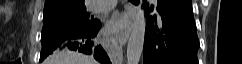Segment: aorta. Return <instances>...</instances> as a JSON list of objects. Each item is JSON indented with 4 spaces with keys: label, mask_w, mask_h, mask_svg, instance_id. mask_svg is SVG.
I'll return each instance as SVG.
<instances>
[{
    "label": "aorta",
    "mask_w": 242,
    "mask_h": 64,
    "mask_svg": "<svg viewBox=\"0 0 242 64\" xmlns=\"http://www.w3.org/2000/svg\"><path fill=\"white\" fill-rule=\"evenodd\" d=\"M146 21L144 11L138 8L127 45L128 64H138L143 52Z\"/></svg>",
    "instance_id": "762f6f07"
}]
</instances>
